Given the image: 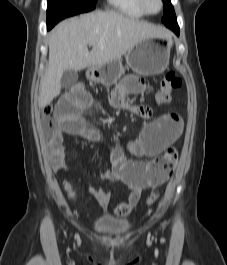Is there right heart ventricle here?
Listing matches in <instances>:
<instances>
[{"mask_svg": "<svg viewBox=\"0 0 227 265\" xmlns=\"http://www.w3.org/2000/svg\"><path fill=\"white\" fill-rule=\"evenodd\" d=\"M118 12L133 18H141L145 15L141 9L139 0H107Z\"/></svg>", "mask_w": 227, "mask_h": 265, "instance_id": "1", "label": "right heart ventricle"}]
</instances>
